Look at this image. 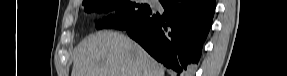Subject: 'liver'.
<instances>
[{"label":"liver","instance_id":"obj_1","mask_svg":"<svg viewBox=\"0 0 287 76\" xmlns=\"http://www.w3.org/2000/svg\"><path fill=\"white\" fill-rule=\"evenodd\" d=\"M71 76H164V67L125 35L101 31L74 49Z\"/></svg>","mask_w":287,"mask_h":76}]
</instances>
